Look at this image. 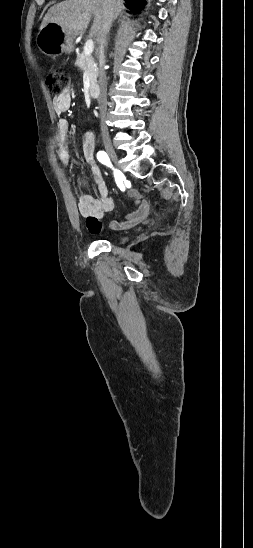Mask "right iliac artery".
I'll return each instance as SVG.
<instances>
[{
  "instance_id": "obj_1",
  "label": "right iliac artery",
  "mask_w": 253,
  "mask_h": 548,
  "mask_svg": "<svg viewBox=\"0 0 253 548\" xmlns=\"http://www.w3.org/2000/svg\"><path fill=\"white\" fill-rule=\"evenodd\" d=\"M97 159L102 164H104V165H106V166H108V167H110L114 170V177H115L116 183H117L118 186H121L122 185L121 173H120L119 170L113 168L107 153L104 152V151H99L97 153Z\"/></svg>"
}]
</instances>
